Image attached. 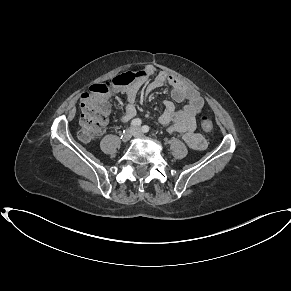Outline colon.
I'll list each match as a JSON object with an SVG mask.
<instances>
[{
  "mask_svg": "<svg viewBox=\"0 0 291 291\" xmlns=\"http://www.w3.org/2000/svg\"><path fill=\"white\" fill-rule=\"evenodd\" d=\"M136 78L133 73L120 75L112 82H103L91 86L81 98V116L79 122V139L90 142L104 131L109 114V104L105 96L112 87H124L131 84ZM202 132L208 134L213 129L212 118L203 114L198 119Z\"/></svg>",
  "mask_w": 291,
  "mask_h": 291,
  "instance_id": "5ec220e1",
  "label": "colon"
}]
</instances>
